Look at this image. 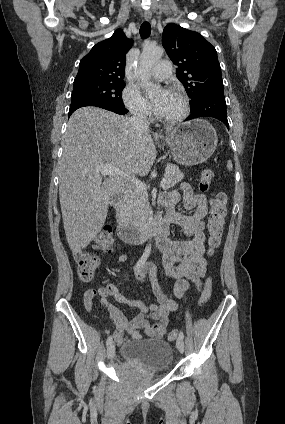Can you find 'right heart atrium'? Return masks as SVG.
I'll return each mask as SVG.
<instances>
[{
  "label": "right heart atrium",
  "mask_w": 285,
  "mask_h": 424,
  "mask_svg": "<svg viewBox=\"0 0 285 424\" xmlns=\"http://www.w3.org/2000/svg\"><path fill=\"white\" fill-rule=\"evenodd\" d=\"M122 99L125 107L135 116L148 118L152 109L150 103L144 98L141 91L135 84H128L123 92Z\"/></svg>",
  "instance_id": "d8ad5b80"
}]
</instances>
